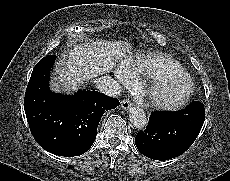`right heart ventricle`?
Wrapping results in <instances>:
<instances>
[{"label": "right heart ventricle", "mask_w": 230, "mask_h": 181, "mask_svg": "<svg viewBox=\"0 0 230 181\" xmlns=\"http://www.w3.org/2000/svg\"><path fill=\"white\" fill-rule=\"evenodd\" d=\"M183 70V67L177 61L159 53L141 55L120 65V71L131 80L136 78L152 80L162 74L181 72Z\"/></svg>", "instance_id": "right-heart-ventricle-1"}]
</instances>
